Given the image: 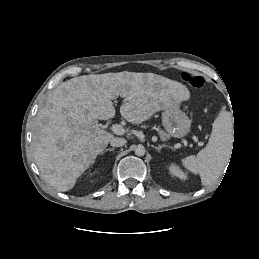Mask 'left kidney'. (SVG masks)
I'll use <instances>...</instances> for the list:
<instances>
[{
  "label": "left kidney",
  "mask_w": 259,
  "mask_h": 259,
  "mask_svg": "<svg viewBox=\"0 0 259 259\" xmlns=\"http://www.w3.org/2000/svg\"><path fill=\"white\" fill-rule=\"evenodd\" d=\"M168 169L172 175H174L180 179L187 178L186 174L177 165H175L173 163L169 165Z\"/></svg>",
  "instance_id": "obj_1"
}]
</instances>
